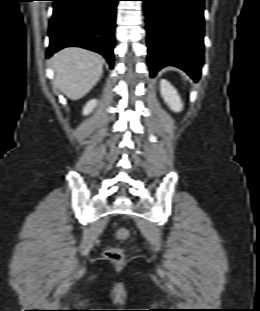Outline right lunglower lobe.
Listing matches in <instances>:
<instances>
[{
    "instance_id": "98d812e1",
    "label": "right lung lower lobe",
    "mask_w": 260,
    "mask_h": 311,
    "mask_svg": "<svg viewBox=\"0 0 260 311\" xmlns=\"http://www.w3.org/2000/svg\"><path fill=\"white\" fill-rule=\"evenodd\" d=\"M47 57L77 46L102 54L113 68L116 5L119 0H53Z\"/></svg>"
}]
</instances>
